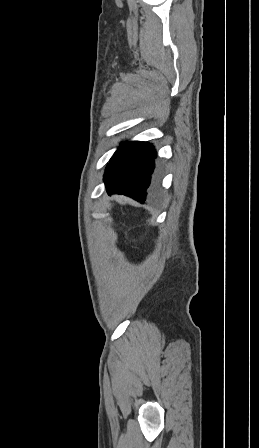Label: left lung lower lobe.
<instances>
[{"instance_id": "0a47b994", "label": "left lung lower lobe", "mask_w": 259, "mask_h": 448, "mask_svg": "<svg viewBox=\"0 0 259 448\" xmlns=\"http://www.w3.org/2000/svg\"><path fill=\"white\" fill-rule=\"evenodd\" d=\"M156 157L151 143L131 141L122 144L105 169L103 180L107 193L124 194L144 203Z\"/></svg>"}]
</instances>
